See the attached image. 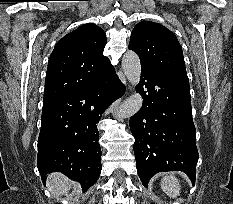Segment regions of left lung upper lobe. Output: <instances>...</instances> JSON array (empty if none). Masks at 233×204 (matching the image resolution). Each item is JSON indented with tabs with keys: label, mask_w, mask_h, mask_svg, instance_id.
<instances>
[{
	"label": "left lung upper lobe",
	"mask_w": 233,
	"mask_h": 204,
	"mask_svg": "<svg viewBox=\"0 0 233 204\" xmlns=\"http://www.w3.org/2000/svg\"><path fill=\"white\" fill-rule=\"evenodd\" d=\"M129 49L138 54L141 67L189 81L177 37L163 25L138 23L131 33Z\"/></svg>",
	"instance_id": "1"
}]
</instances>
